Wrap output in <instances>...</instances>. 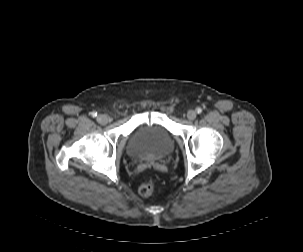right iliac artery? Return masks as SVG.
<instances>
[{
  "label": "right iliac artery",
  "mask_w": 303,
  "mask_h": 252,
  "mask_svg": "<svg viewBox=\"0 0 303 252\" xmlns=\"http://www.w3.org/2000/svg\"><path fill=\"white\" fill-rule=\"evenodd\" d=\"M91 114H92L93 117L97 116V112H95V111H93Z\"/></svg>",
  "instance_id": "right-iliac-artery-1"
}]
</instances>
